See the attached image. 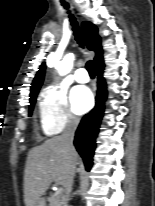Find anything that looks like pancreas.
Instances as JSON below:
<instances>
[{
	"label": "pancreas",
	"instance_id": "1",
	"mask_svg": "<svg viewBox=\"0 0 155 206\" xmlns=\"http://www.w3.org/2000/svg\"><path fill=\"white\" fill-rule=\"evenodd\" d=\"M62 200H63L62 194H60V193L51 194L48 197V202H49L48 206H61Z\"/></svg>",
	"mask_w": 155,
	"mask_h": 206
}]
</instances>
